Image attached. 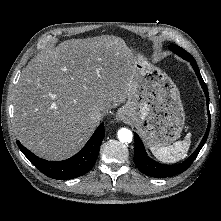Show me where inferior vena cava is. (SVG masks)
Listing matches in <instances>:
<instances>
[{
  "label": "inferior vena cava",
  "mask_w": 221,
  "mask_h": 221,
  "mask_svg": "<svg viewBox=\"0 0 221 221\" xmlns=\"http://www.w3.org/2000/svg\"><path fill=\"white\" fill-rule=\"evenodd\" d=\"M103 116H104V113L99 110H94L90 114L91 119H93L95 121L101 120L103 118Z\"/></svg>",
  "instance_id": "1"
}]
</instances>
